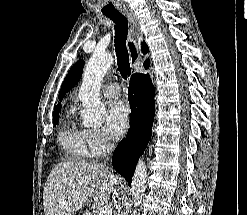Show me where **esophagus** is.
Listing matches in <instances>:
<instances>
[{
	"label": "esophagus",
	"mask_w": 247,
	"mask_h": 215,
	"mask_svg": "<svg viewBox=\"0 0 247 215\" xmlns=\"http://www.w3.org/2000/svg\"><path fill=\"white\" fill-rule=\"evenodd\" d=\"M121 12L127 17L129 21L127 49L129 52L130 64L133 67V71H135V66L140 64L142 61L139 40L140 26L136 16L131 10L124 8L121 10Z\"/></svg>",
	"instance_id": "obj_1"
}]
</instances>
